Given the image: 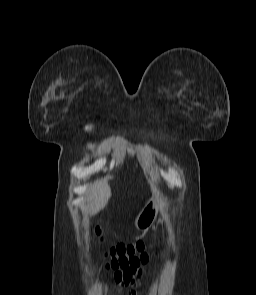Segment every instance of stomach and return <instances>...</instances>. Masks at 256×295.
<instances>
[{"mask_svg": "<svg viewBox=\"0 0 256 295\" xmlns=\"http://www.w3.org/2000/svg\"><path fill=\"white\" fill-rule=\"evenodd\" d=\"M160 198L154 195L135 218L134 225L138 230L148 229L157 217Z\"/></svg>", "mask_w": 256, "mask_h": 295, "instance_id": "stomach-1", "label": "stomach"}]
</instances>
